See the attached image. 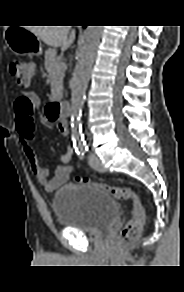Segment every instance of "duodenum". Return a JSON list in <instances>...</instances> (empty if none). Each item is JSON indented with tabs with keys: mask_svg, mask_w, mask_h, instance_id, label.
Masks as SVG:
<instances>
[{
	"mask_svg": "<svg viewBox=\"0 0 184 292\" xmlns=\"http://www.w3.org/2000/svg\"><path fill=\"white\" fill-rule=\"evenodd\" d=\"M70 107L64 100H57L50 103L46 113L55 120H66L69 116Z\"/></svg>",
	"mask_w": 184,
	"mask_h": 292,
	"instance_id": "obj_1",
	"label": "duodenum"
}]
</instances>
